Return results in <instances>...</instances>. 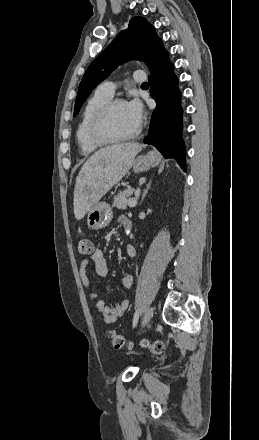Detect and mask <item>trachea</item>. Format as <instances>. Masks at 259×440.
I'll return each mask as SVG.
<instances>
[{"instance_id": "3493384b", "label": "trachea", "mask_w": 259, "mask_h": 440, "mask_svg": "<svg viewBox=\"0 0 259 440\" xmlns=\"http://www.w3.org/2000/svg\"><path fill=\"white\" fill-rule=\"evenodd\" d=\"M146 85H148V83H146V82L142 84V86H146Z\"/></svg>"}]
</instances>
